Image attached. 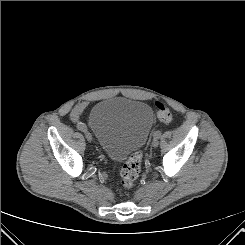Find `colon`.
<instances>
[{
	"instance_id": "1",
	"label": "colon",
	"mask_w": 245,
	"mask_h": 245,
	"mask_svg": "<svg viewBox=\"0 0 245 245\" xmlns=\"http://www.w3.org/2000/svg\"><path fill=\"white\" fill-rule=\"evenodd\" d=\"M155 105L159 119L164 123L172 122L173 117L169 109L162 102H156ZM141 160L142 153L136 151L129 156L128 160L121 168V185L124 189H129L134 185L140 173Z\"/></svg>"
}]
</instances>
